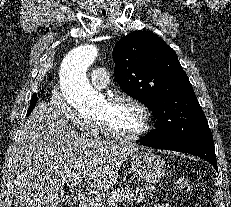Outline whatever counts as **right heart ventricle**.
<instances>
[{
	"label": "right heart ventricle",
	"instance_id": "e07e8e85",
	"mask_svg": "<svg viewBox=\"0 0 231 207\" xmlns=\"http://www.w3.org/2000/svg\"><path fill=\"white\" fill-rule=\"evenodd\" d=\"M101 133V128L97 122H91V136H98Z\"/></svg>",
	"mask_w": 231,
	"mask_h": 207
}]
</instances>
